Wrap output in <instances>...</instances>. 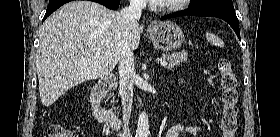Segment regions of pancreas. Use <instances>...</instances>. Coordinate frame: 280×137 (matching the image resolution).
I'll return each mask as SVG.
<instances>
[{"mask_svg": "<svg viewBox=\"0 0 280 137\" xmlns=\"http://www.w3.org/2000/svg\"><path fill=\"white\" fill-rule=\"evenodd\" d=\"M161 59L169 61V68L174 67L175 65H179L182 62H185L187 60V53L186 52H179V53H173L171 55L163 54Z\"/></svg>", "mask_w": 280, "mask_h": 137, "instance_id": "cf45deb5", "label": "pancreas"}]
</instances>
